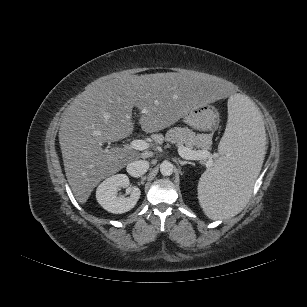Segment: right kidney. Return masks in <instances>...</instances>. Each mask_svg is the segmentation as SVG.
Returning a JSON list of instances; mask_svg holds the SVG:
<instances>
[{
    "mask_svg": "<svg viewBox=\"0 0 307 307\" xmlns=\"http://www.w3.org/2000/svg\"><path fill=\"white\" fill-rule=\"evenodd\" d=\"M129 185V178L125 174L113 175L97 187L96 199L108 212L121 214L130 211L139 200L141 191L138 187H129ZM120 187H129L130 197L117 196Z\"/></svg>",
    "mask_w": 307,
    "mask_h": 307,
    "instance_id": "1",
    "label": "right kidney"
}]
</instances>
